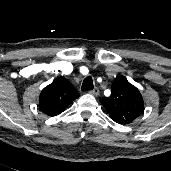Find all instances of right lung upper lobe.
I'll use <instances>...</instances> for the list:
<instances>
[{"instance_id":"1","label":"right lung upper lobe","mask_w":171,"mask_h":171,"mask_svg":"<svg viewBox=\"0 0 171 171\" xmlns=\"http://www.w3.org/2000/svg\"><path fill=\"white\" fill-rule=\"evenodd\" d=\"M79 96L72 84L61 77L42 90L39 97V106L48 116H56L62 113Z\"/></svg>"}]
</instances>
